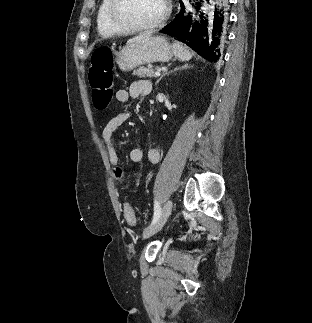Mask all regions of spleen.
<instances>
[{
  "label": "spleen",
  "instance_id": "3e777b00",
  "mask_svg": "<svg viewBox=\"0 0 312 323\" xmlns=\"http://www.w3.org/2000/svg\"><path fill=\"white\" fill-rule=\"evenodd\" d=\"M172 50L174 56H176L178 60H181V62H189L193 56L185 46H181V42H175L172 46Z\"/></svg>",
  "mask_w": 312,
  "mask_h": 323
}]
</instances>
